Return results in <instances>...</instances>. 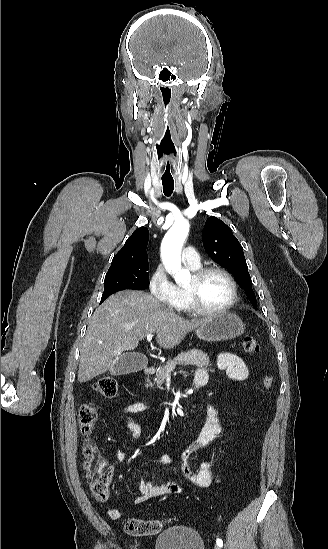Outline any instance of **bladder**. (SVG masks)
<instances>
[{"label": "bladder", "instance_id": "1", "mask_svg": "<svg viewBox=\"0 0 328 549\" xmlns=\"http://www.w3.org/2000/svg\"><path fill=\"white\" fill-rule=\"evenodd\" d=\"M155 549H203V541L198 532L179 526L158 535Z\"/></svg>", "mask_w": 328, "mask_h": 549}]
</instances>
